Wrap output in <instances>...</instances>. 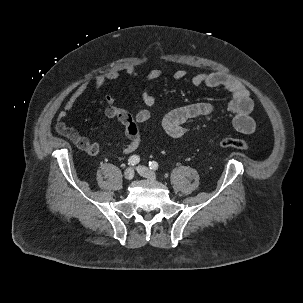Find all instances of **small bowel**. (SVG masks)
<instances>
[{"label":"small bowel","instance_id":"c3829d8e","mask_svg":"<svg viewBox=\"0 0 303 303\" xmlns=\"http://www.w3.org/2000/svg\"><path fill=\"white\" fill-rule=\"evenodd\" d=\"M124 72L130 77H143L146 80H156L162 77L161 69H152L146 73L139 72L135 66L128 65ZM120 77L117 70H109L93 79L95 91H99L106 83L116 81ZM173 78L178 81H189L199 86L205 85L209 88L222 89L231 95L225 108L233 118L234 128L243 134H251L255 130V123L251 117L254 107L250 92L240 82L232 79L228 75L220 72H200L189 75L185 69L176 70ZM90 81H84L79 84L67 99L64 108L59 112L56 123L57 132L71 141L79 150L90 156H96L100 152V146L97 142L80 134L75 128L66 123V118L75 106L78 99L87 91ZM106 108L105 117L110 121H118L123 127L128 138V144L123 149L125 154L135 152L140 145V127L152 120L151 108L155 104V97L149 90L142 92V102L144 107L132 115L125 109L115 105V98L111 94L105 96ZM215 111V106L208 102L194 103L178 107L168 112L163 119V127L166 133L172 138H180L187 132L186 124L191 120L209 117Z\"/></svg>","mask_w":303,"mask_h":303}]
</instances>
